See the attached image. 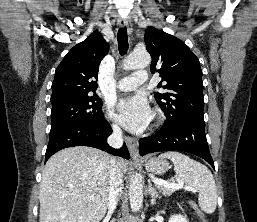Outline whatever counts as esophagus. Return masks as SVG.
<instances>
[{
  "label": "esophagus",
  "mask_w": 257,
  "mask_h": 222,
  "mask_svg": "<svg viewBox=\"0 0 257 222\" xmlns=\"http://www.w3.org/2000/svg\"><path fill=\"white\" fill-rule=\"evenodd\" d=\"M119 24L121 27H127L128 31L131 33L132 31V26L129 20L127 19H120ZM125 142L126 145L130 151V154L132 155L133 158H137L138 157V142L135 138L126 136L125 137Z\"/></svg>",
  "instance_id": "1"
}]
</instances>
